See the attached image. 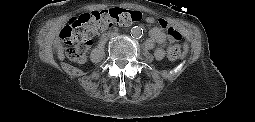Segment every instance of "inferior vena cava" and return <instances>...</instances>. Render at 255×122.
I'll use <instances>...</instances> for the list:
<instances>
[{
    "label": "inferior vena cava",
    "instance_id": "602c4592",
    "mask_svg": "<svg viewBox=\"0 0 255 122\" xmlns=\"http://www.w3.org/2000/svg\"><path fill=\"white\" fill-rule=\"evenodd\" d=\"M115 36H117V33H115V32L110 34V37H115Z\"/></svg>",
    "mask_w": 255,
    "mask_h": 122
}]
</instances>
